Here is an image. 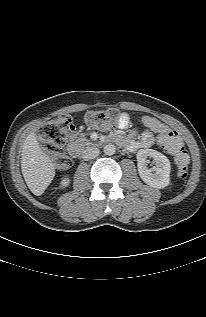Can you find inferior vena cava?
Here are the masks:
<instances>
[{"mask_svg": "<svg viewBox=\"0 0 206 317\" xmlns=\"http://www.w3.org/2000/svg\"><path fill=\"white\" fill-rule=\"evenodd\" d=\"M99 155V149L93 146H88L82 151V158L84 160L94 159Z\"/></svg>", "mask_w": 206, "mask_h": 317, "instance_id": "inferior-vena-cava-1", "label": "inferior vena cava"}]
</instances>
